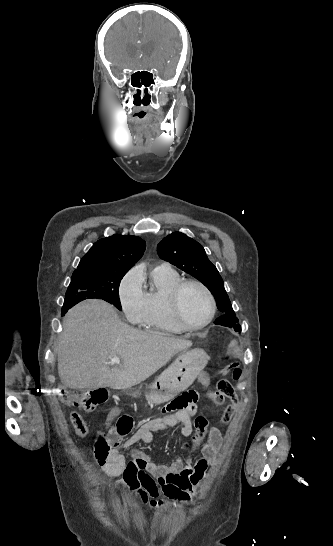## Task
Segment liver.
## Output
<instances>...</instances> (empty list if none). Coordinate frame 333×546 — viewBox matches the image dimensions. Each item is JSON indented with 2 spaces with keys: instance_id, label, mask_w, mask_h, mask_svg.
<instances>
[{
  "instance_id": "obj_1",
  "label": "liver",
  "mask_w": 333,
  "mask_h": 546,
  "mask_svg": "<svg viewBox=\"0 0 333 546\" xmlns=\"http://www.w3.org/2000/svg\"><path fill=\"white\" fill-rule=\"evenodd\" d=\"M192 341L145 333L123 323L114 308L98 299L68 311L58 345V374L63 387L126 389L154 374ZM120 357L122 364L109 367Z\"/></svg>"
}]
</instances>
